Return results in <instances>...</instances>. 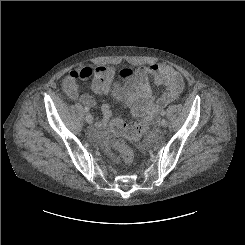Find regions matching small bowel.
<instances>
[{
    "label": "small bowel",
    "instance_id": "obj_1",
    "mask_svg": "<svg viewBox=\"0 0 245 245\" xmlns=\"http://www.w3.org/2000/svg\"><path fill=\"white\" fill-rule=\"evenodd\" d=\"M115 70L112 67H80L70 71L64 81V90L67 96L74 100H79L82 104L93 106L95 101L88 94H80L79 80H88L93 77L91 89L100 98L105 97L112 85ZM153 77L154 84L158 87H164L165 90L159 96H156L150 84ZM135 92L139 96V102L131 99V110H148L152 105L157 111H160L169 103L175 101L183 90L184 83L181 75L173 67L164 63H151L134 70ZM110 105L104 103L101 107L100 119L96 122L99 130H104L109 124L111 118ZM114 160L117 159L112 155Z\"/></svg>",
    "mask_w": 245,
    "mask_h": 245
}]
</instances>
